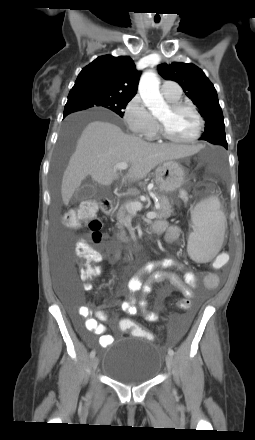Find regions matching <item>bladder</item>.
<instances>
[{"instance_id":"1","label":"bladder","mask_w":255,"mask_h":440,"mask_svg":"<svg viewBox=\"0 0 255 440\" xmlns=\"http://www.w3.org/2000/svg\"><path fill=\"white\" fill-rule=\"evenodd\" d=\"M161 365L160 349L149 340L137 339L135 345L128 347L120 344L112 346L102 365V372L116 382L136 386L153 380Z\"/></svg>"}]
</instances>
